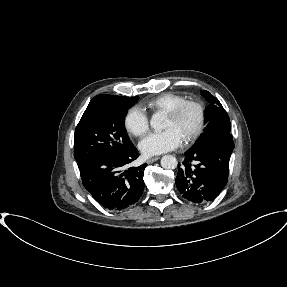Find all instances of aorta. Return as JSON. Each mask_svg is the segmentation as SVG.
<instances>
[{"label":"aorta","instance_id":"1","mask_svg":"<svg viewBox=\"0 0 287 287\" xmlns=\"http://www.w3.org/2000/svg\"><path fill=\"white\" fill-rule=\"evenodd\" d=\"M150 125L153 129L158 131L161 130L163 127L162 120L157 114L152 116L150 120ZM177 164H178L177 159L173 155H164L161 158V166L164 169H170V170L175 169L177 167Z\"/></svg>","mask_w":287,"mask_h":287}]
</instances>
